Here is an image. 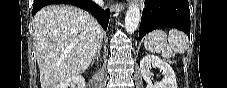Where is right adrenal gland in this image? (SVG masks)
Returning <instances> with one entry per match:
<instances>
[{"mask_svg":"<svg viewBox=\"0 0 227 88\" xmlns=\"http://www.w3.org/2000/svg\"><path fill=\"white\" fill-rule=\"evenodd\" d=\"M100 50H101V49H99V50L97 51V53L95 54V56L93 57V59H92V61H91V64L94 63L95 59L99 60V58H100Z\"/></svg>","mask_w":227,"mask_h":88,"instance_id":"1","label":"right adrenal gland"}]
</instances>
